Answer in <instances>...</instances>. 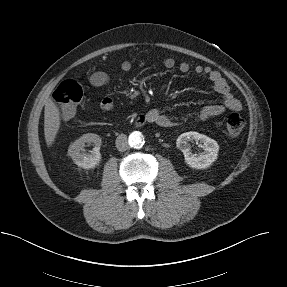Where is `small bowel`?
<instances>
[{
	"label": "small bowel",
	"mask_w": 287,
	"mask_h": 287,
	"mask_svg": "<svg viewBox=\"0 0 287 287\" xmlns=\"http://www.w3.org/2000/svg\"><path fill=\"white\" fill-rule=\"evenodd\" d=\"M162 65L166 69H173L176 66V61L171 57L163 59ZM132 68V64L129 61H123L120 65V69L123 72H129ZM178 69L182 73H188L192 68L187 62H181L178 64ZM193 71L198 75H203L208 78L215 89L222 97L221 104H210L202 107L195 115V119L198 121H205L208 119L221 116L225 111H239L241 109V102L232 94L230 87L221 75V73L209 66L196 65ZM110 80L109 74L106 71H95L90 74L89 82L94 87H103L108 84ZM100 108L103 112L109 113L114 110V102L110 97H105L100 103ZM149 122L154 123L161 127H171L178 123L177 120L164 113L159 108H154L146 113ZM69 119V118H65Z\"/></svg>",
	"instance_id": "obj_1"
}]
</instances>
